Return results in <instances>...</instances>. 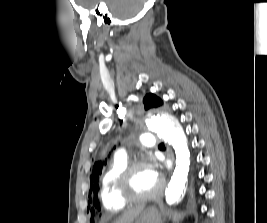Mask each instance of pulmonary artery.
<instances>
[{
  "label": "pulmonary artery",
  "mask_w": 267,
  "mask_h": 223,
  "mask_svg": "<svg viewBox=\"0 0 267 223\" xmlns=\"http://www.w3.org/2000/svg\"><path fill=\"white\" fill-rule=\"evenodd\" d=\"M142 144L146 147L153 148L156 145V137L154 134L146 133L140 136ZM118 156L126 157L124 151H120Z\"/></svg>",
  "instance_id": "1"
}]
</instances>
